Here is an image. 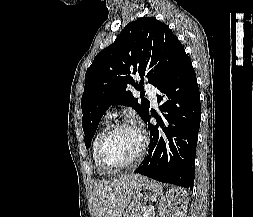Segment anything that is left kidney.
Returning a JSON list of instances; mask_svg holds the SVG:
<instances>
[{
  "instance_id": "1",
  "label": "left kidney",
  "mask_w": 253,
  "mask_h": 217,
  "mask_svg": "<svg viewBox=\"0 0 253 217\" xmlns=\"http://www.w3.org/2000/svg\"><path fill=\"white\" fill-rule=\"evenodd\" d=\"M188 193L181 188L166 192L159 203L160 217H183L187 212Z\"/></svg>"
}]
</instances>
